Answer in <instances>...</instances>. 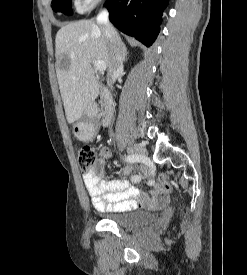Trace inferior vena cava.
I'll return each instance as SVG.
<instances>
[{"mask_svg": "<svg viewBox=\"0 0 247 275\" xmlns=\"http://www.w3.org/2000/svg\"><path fill=\"white\" fill-rule=\"evenodd\" d=\"M108 15L106 9L101 10L97 16V23L101 27L108 42L110 53L109 77L111 85L123 72V43L116 30L110 24Z\"/></svg>", "mask_w": 247, "mask_h": 275, "instance_id": "1", "label": "inferior vena cava"}]
</instances>
